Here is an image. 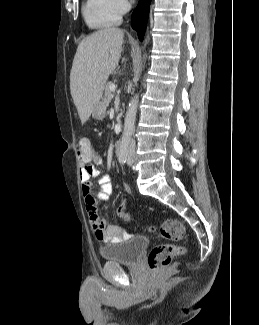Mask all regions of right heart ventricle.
<instances>
[{"mask_svg": "<svg viewBox=\"0 0 259 325\" xmlns=\"http://www.w3.org/2000/svg\"><path fill=\"white\" fill-rule=\"evenodd\" d=\"M83 18L89 28L105 29L119 24L120 15L111 7L110 0H85Z\"/></svg>", "mask_w": 259, "mask_h": 325, "instance_id": "obj_1", "label": "right heart ventricle"}]
</instances>
